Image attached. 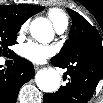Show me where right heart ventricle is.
Instances as JSON below:
<instances>
[{
  "instance_id": "1",
  "label": "right heart ventricle",
  "mask_w": 103,
  "mask_h": 103,
  "mask_svg": "<svg viewBox=\"0 0 103 103\" xmlns=\"http://www.w3.org/2000/svg\"><path fill=\"white\" fill-rule=\"evenodd\" d=\"M48 16L56 29L68 24L67 16L60 9H50Z\"/></svg>"
}]
</instances>
